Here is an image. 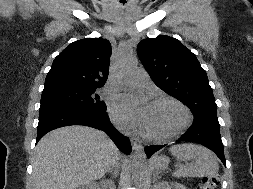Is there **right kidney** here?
Wrapping results in <instances>:
<instances>
[{
  "label": "right kidney",
  "mask_w": 253,
  "mask_h": 189,
  "mask_svg": "<svg viewBox=\"0 0 253 189\" xmlns=\"http://www.w3.org/2000/svg\"><path fill=\"white\" fill-rule=\"evenodd\" d=\"M109 187H110V184L108 185L107 182L102 181L101 185H99L96 182H91V183H88L86 185H83L79 189H108Z\"/></svg>",
  "instance_id": "1"
}]
</instances>
